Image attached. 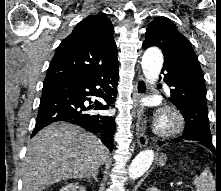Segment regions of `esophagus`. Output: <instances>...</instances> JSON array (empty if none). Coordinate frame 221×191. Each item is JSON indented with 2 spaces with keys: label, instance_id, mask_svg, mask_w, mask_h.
Here are the masks:
<instances>
[{
  "label": "esophagus",
  "instance_id": "obj_1",
  "mask_svg": "<svg viewBox=\"0 0 221 191\" xmlns=\"http://www.w3.org/2000/svg\"><path fill=\"white\" fill-rule=\"evenodd\" d=\"M147 82L143 75L139 74L135 84V91L133 93V98L137 106V123H136V135H137V145L142 148L146 146L148 139L144 133L143 126L141 125V119L143 117V111L140 107V99L146 95Z\"/></svg>",
  "mask_w": 221,
  "mask_h": 191
}]
</instances>
